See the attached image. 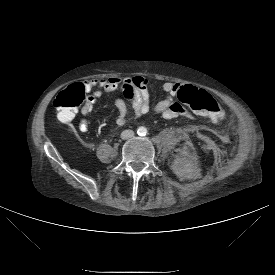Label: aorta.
Returning a JSON list of instances; mask_svg holds the SVG:
<instances>
[{"instance_id":"1","label":"aorta","mask_w":275,"mask_h":275,"mask_svg":"<svg viewBox=\"0 0 275 275\" xmlns=\"http://www.w3.org/2000/svg\"><path fill=\"white\" fill-rule=\"evenodd\" d=\"M147 132V129L145 127H139L138 134L139 135H145Z\"/></svg>"}]
</instances>
